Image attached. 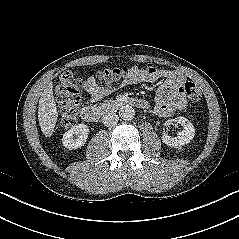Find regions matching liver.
I'll return each instance as SVG.
<instances>
[{
  "mask_svg": "<svg viewBox=\"0 0 239 239\" xmlns=\"http://www.w3.org/2000/svg\"><path fill=\"white\" fill-rule=\"evenodd\" d=\"M58 112L53 96V84L50 82L43 90L38 105V120L42 133L45 137L53 134Z\"/></svg>",
  "mask_w": 239,
  "mask_h": 239,
  "instance_id": "1",
  "label": "liver"
}]
</instances>
